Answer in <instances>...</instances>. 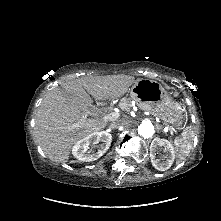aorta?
<instances>
[{"mask_svg":"<svg viewBox=\"0 0 221 221\" xmlns=\"http://www.w3.org/2000/svg\"><path fill=\"white\" fill-rule=\"evenodd\" d=\"M154 132H155L154 126L150 121H143L138 126V133L144 138L152 137Z\"/></svg>","mask_w":221,"mask_h":221,"instance_id":"762f6f07","label":"aorta"}]
</instances>
